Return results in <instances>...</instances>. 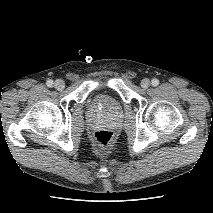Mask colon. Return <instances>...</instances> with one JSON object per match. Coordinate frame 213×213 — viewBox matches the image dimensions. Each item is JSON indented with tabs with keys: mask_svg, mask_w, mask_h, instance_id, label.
<instances>
[{
	"mask_svg": "<svg viewBox=\"0 0 213 213\" xmlns=\"http://www.w3.org/2000/svg\"><path fill=\"white\" fill-rule=\"evenodd\" d=\"M93 140L101 149H107L114 141V133L107 129L97 130L93 134Z\"/></svg>",
	"mask_w": 213,
	"mask_h": 213,
	"instance_id": "colon-1",
	"label": "colon"
}]
</instances>
